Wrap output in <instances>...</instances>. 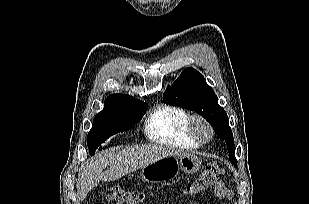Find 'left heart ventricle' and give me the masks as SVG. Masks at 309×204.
<instances>
[{
  "label": "left heart ventricle",
  "instance_id": "1",
  "mask_svg": "<svg viewBox=\"0 0 309 204\" xmlns=\"http://www.w3.org/2000/svg\"><path fill=\"white\" fill-rule=\"evenodd\" d=\"M199 133L202 135V136H205L207 134V131L204 127L200 126L199 127Z\"/></svg>",
  "mask_w": 309,
  "mask_h": 204
}]
</instances>
